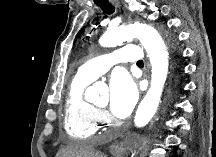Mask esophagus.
I'll return each mask as SVG.
<instances>
[{"label":"esophagus","instance_id":"obj_1","mask_svg":"<svg viewBox=\"0 0 216 157\" xmlns=\"http://www.w3.org/2000/svg\"><path fill=\"white\" fill-rule=\"evenodd\" d=\"M111 3L116 7V8H120V4L119 2L115 1V0H111ZM149 68V65H147V69ZM111 150L117 151L119 150V146L118 145H112L111 146Z\"/></svg>","mask_w":216,"mask_h":157}]
</instances>
